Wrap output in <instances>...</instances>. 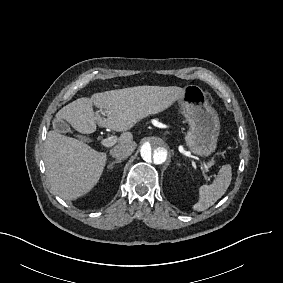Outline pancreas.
<instances>
[{"mask_svg":"<svg viewBox=\"0 0 283 283\" xmlns=\"http://www.w3.org/2000/svg\"><path fill=\"white\" fill-rule=\"evenodd\" d=\"M214 164V161H211V163L209 164L210 166Z\"/></svg>","mask_w":283,"mask_h":283,"instance_id":"pancreas-1","label":"pancreas"}]
</instances>
